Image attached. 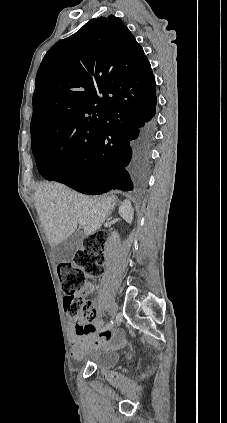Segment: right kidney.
Segmentation results:
<instances>
[{
	"label": "right kidney",
	"instance_id": "obj_1",
	"mask_svg": "<svg viewBox=\"0 0 227 423\" xmlns=\"http://www.w3.org/2000/svg\"><path fill=\"white\" fill-rule=\"evenodd\" d=\"M119 213H120L121 217H123V219H126L127 223H132L134 210L131 206L130 200H124V202H122V204L119 208ZM112 239H114V241H116V239H118L117 231H112Z\"/></svg>",
	"mask_w": 227,
	"mask_h": 423
}]
</instances>
